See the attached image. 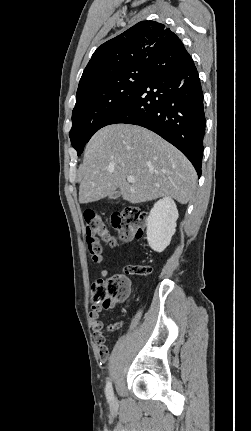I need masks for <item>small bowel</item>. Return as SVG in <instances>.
<instances>
[{
  "mask_svg": "<svg viewBox=\"0 0 251 431\" xmlns=\"http://www.w3.org/2000/svg\"><path fill=\"white\" fill-rule=\"evenodd\" d=\"M146 274H149L151 269L149 267H145ZM103 277H106L108 274V271L106 269L102 270L101 272ZM102 311V307L94 305L90 311V323L91 327L94 331V339L95 342L99 345V351L97 352V357L99 358L100 362H109L110 355L109 352L111 351V348L108 345L104 346L105 337H104V323L100 320L99 314Z\"/></svg>",
  "mask_w": 251,
  "mask_h": 431,
  "instance_id": "1",
  "label": "small bowel"
}]
</instances>
